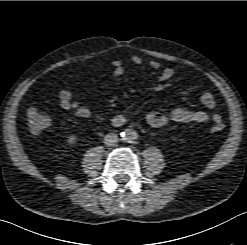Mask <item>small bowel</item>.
Returning a JSON list of instances; mask_svg holds the SVG:
<instances>
[{"mask_svg":"<svg viewBox=\"0 0 247 245\" xmlns=\"http://www.w3.org/2000/svg\"><path fill=\"white\" fill-rule=\"evenodd\" d=\"M131 62L134 65H142L143 59L140 56L134 55L131 57ZM113 74L115 76H122L125 74V68L121 61L115 60L111 63ZM149 66L153 69H160L161 64L157 60H150ZM174 69L165 67L162 69L160 78L162 81H168L174 76ZM60 106L62 109L71 112L74 116L82 119H88L91 116V110L85 105H81L72 99V93L67 89H62L58 94ZM201 101L203 105L209 109L214 110L216 107L215 96L211 92H205ZM134 107V103H129L124 108V113H128ZM213 122L221 120V116L217 113L209 115L203 110L189 109V108H176L170 112H149L146 115L147 123L154 128L166 126L170 122L178 123H204L208 120ZM116 118L115 121H118Z\"/></svg>","mask_w":247,"mask_h":245,"instance_id":"obj_1","label":"small bowel"}]
</instances>
